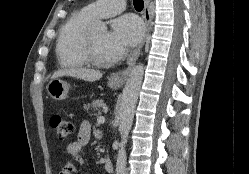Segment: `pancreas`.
Wrapping results in <instances>:
<instances>
[{
	"instance_id": "cf45deb5",
	"label": "pancreas",
	"mask_w": 249,
	"mask_h": 174,
	"mask_svg": "<svg viewBox=\"0 0 249 174\" xmlns=\"http://www.w3.org/2000/svg\"><path fill=\"white\" fill-rule=\"evenodd\" d=\"M105 104L102 99H98L96 101H93L92 103H87L84 105V109H93V113L91 115H95L94 111H97L98 115H101L102 113V108H104Z\"/></svg>"
}]
</instances>
